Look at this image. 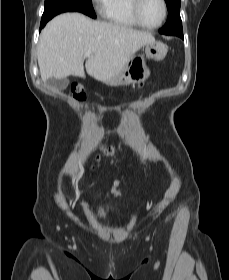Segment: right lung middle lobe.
Instances as JSON below:
<instances>
[{"mask_svg":"<svg viewBox=\"0 0 229 280\" xmlns=\"http://www.w3.org/2000/svg\"><path fill=\"white\" fill-rule=\"evenodd\" d=\"M69 11H78L96 18L91 0H45L42 19L50 20L60 13Z\"/></svg>","mask_w":229,"mask_h":280,"instance_id":"right-lung-middle-lobe-1","label":"right lung middle lobe"}]
</instances>
